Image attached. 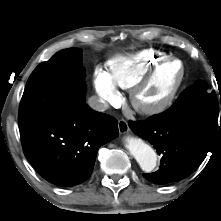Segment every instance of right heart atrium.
I'll return each mask as SVG.
<instances>
[{
	"label": "right heart atrium",
	"mask_w": 221,
	"mask_h": 221,
	"mask_svg": "<svg viewBox=\"0 0 221 221\" xmlns=\"http://www.w3.org/2000/svg\"><path fill=\"white\" fill-rule=\"evenodd\" d=\"M93 83L96 93L105 106L114 104L119 100L120 92L117 86L103 69L96 68Z\"/></svg>",
	"instance_id": "right-heart-atrium-1"
}]
</instances>
